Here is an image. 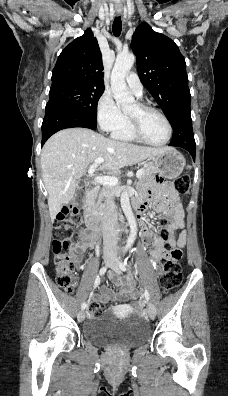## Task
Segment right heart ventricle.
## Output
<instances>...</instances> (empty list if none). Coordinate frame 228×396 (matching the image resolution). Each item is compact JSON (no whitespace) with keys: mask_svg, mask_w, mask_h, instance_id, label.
Here are the masks:
<instances>
[{"mask_svg":"<svg viewBox=\"0 0 228 396\" xmlns=\"http://www.w3.org/2000/svg\"><path fill=\"white\" fill-rule=\"evenodd\" d=\"M112 136L115 139L123 140V141H135L136 140V137L133 135V133L130 129L129 121L125 126L112 132Z\"/></svg>","mask_w":228,"mask_h":396,"instance_id":"1","label":"right heart ventricle"}]
</instances>
